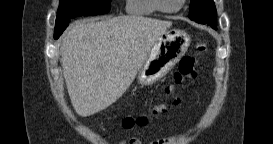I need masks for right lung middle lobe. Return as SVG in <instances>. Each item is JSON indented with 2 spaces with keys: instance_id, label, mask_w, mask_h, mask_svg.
<instances>
[{
  "instance_id": "1",
  "label": "right lung middle lobe",
  "mask_w": 273,
  "mask_h": 144,
  "mask_svg": "<svg viewBox=\"0 0 273 144\" xmlns=\"http://www.w3.org/2000/svg\"><path fill=\"white\" fill-rule=\"evenodd\" d=\"M110 2L111 0H60L54 38H59L71 18L108 13Z\"/></svg>"
}]
</instances>
